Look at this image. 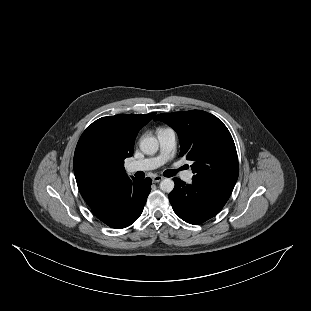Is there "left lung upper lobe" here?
<instances>
[{
  "mask_svg": "<svg viewBox=\"0 0 311 311\" xmlns=\"http://www.w3.org/2000/svg\"><path fill=\"white\" fill-rule=\"evenodd\" d=\"M178 134L181 156L191 165L193 180L235 185L239 165L233 138L214 115L201 110L163 113L155 117Z\"/></svg>",
  "mask_w": 311,
  "mask_h": 311,
  "instance_id": "5c2ea615",
  "label": "left lung upper lobe"
}]
</instances>
